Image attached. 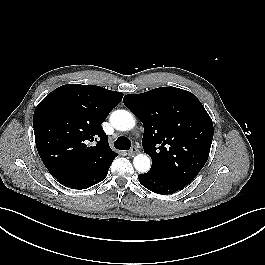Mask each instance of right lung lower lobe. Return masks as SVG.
<instances>
[{"instance_id":"98d812e1","label":"right lung lower lobe","mask_w":265,"mask_h":265,"mask_svg":"<svg viewBox=\"0 0 265 265\" xmlns=\"http://www.w3.org/2000/svg\"><path fill=\"white\" fill-rule=\"evenodd\" d=\"M110 165L98 172L69 179L61 183L73 189H87L105 179L108 170L110 168Z\"/></svg>"}]
</instances>
